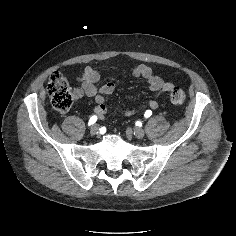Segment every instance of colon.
Masks as SVG:
<instances>
[{
    "label": "colon",
    "instance_id": "colon-1",
    "mask_svg": "<svg viewBox=\"0 0 236 236\" xmlns=\"http://www.w3.org/2000/svg\"><path fill=\"white\" fill-rule=\"evenodd\" d=\"M47 91L53 107L61 112L69 110L73 103V93L67 79L59 72H54L47 84ZM186 95L180 88H173L170 100L174 104L185 101Z\"/></svg>",
    "mask_w": 236,
    "mask_h": 236
}]
</instances>
